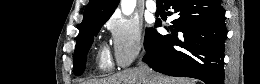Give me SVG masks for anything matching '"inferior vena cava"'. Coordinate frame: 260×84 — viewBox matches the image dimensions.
<instances>
[{"label":"inferior vena cava","instance_id":"1","mask_svg":"<svg viewBox=\"0 0 260 84\" xmlns=\"http://www.w3.org/2000/svg\"><path fill=\"white\" fill-rule=\"evenodd\" d=\"M138 64H139V69L141 71H144V72H148L149 71V67L144 62H142L141 59L139 60Z\"/></svg>","mask_w":260,"mask_h":84}]
</instances>
